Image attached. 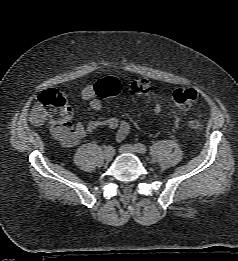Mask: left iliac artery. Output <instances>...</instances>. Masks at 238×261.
I'll list each match as a JSON object with an SVG mask.
<instances>
[{"mask_svg": "<svg viewBox=\"0 0 238 261\" xmlns=\"http://www.w3.org/2000/svg\"><path fill=\"white\" fill-rule=\"evenodd\" d=\"M135 148H136V150H137L139 153H142V154L146 153V151H147L146 146L143 145V144H141V143L135 144Z\"/></svg>", "mask_w": 238, "mask_h": 261, "instance_id": "1", "label": "left iliac artery"}]
</instances>
